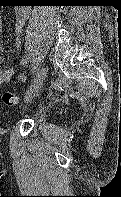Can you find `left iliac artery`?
<instances>
[{"label":"left iliac artery","mask_w":121,"mask_h":197,"mask_svg":"<svg viewBox=\"0 0 121 197\" xmlns=\"http://www.w3.org/2000/svg\"><path fill=\"white\" fill-rule=\"evenodd\" d=\"M31 60H32V56H31L30 54H27V55H25V56L22 58L20 64L23 65V66H25V65H27Z\"/></svg>","instance_id":"left-iliac-artery-1"}]
</instances>
